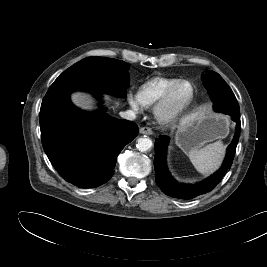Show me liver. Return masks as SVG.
<instances>
[{"instance_id":"6515ba94","label":"liver","mask_w":267,"mask_h":267,"mask_svg":"<svg viewBox=\"0 0 267 267\" xmlns=\"http://www.w3.org/2000/svg\"><path fill=\"white\" fill-rule=\"evenodd\" d=\"M71 99H72L74 104H76L77 106H79L82 109L91 110V109L94 108V106L92 105L93 104V100L89 96L84 95L82 93H74V94H72ZM106 99H108V96H106ZM188 117L189 116L185 117L182 120V122L185 121Z\"/></svg>"}]
</instances>
